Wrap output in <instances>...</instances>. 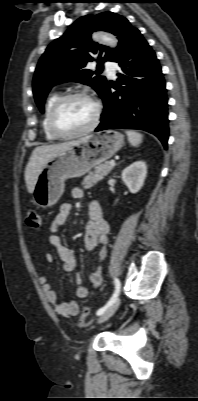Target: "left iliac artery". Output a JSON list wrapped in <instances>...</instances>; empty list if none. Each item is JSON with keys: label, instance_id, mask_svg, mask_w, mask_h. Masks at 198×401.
Listing matches in <instances>:
<instances>
[{"label": "left iliac artery", "instance_id": "left-iliac-artery-1", "mask_svg": "<svg viewBox=\"0 0 198 401\" xmlns=\"http://www.w3.org/2000/svg\"><path fill=\"white\" fill-rule=\"evenodd\" d=\"M114 285H115V291H114L112 297L110 298V300L107 302V304L105 306H103L97 310L96 314L98 316L102 315L118 298V295L120 293V287H121V284H120V281L118 278L114 279Z\"/></svg>", "mask_w": 198, "mask_h": 401}]
</instances>
